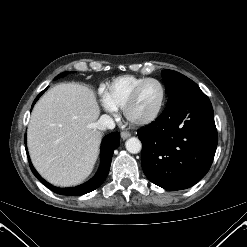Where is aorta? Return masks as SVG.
Masks as SVG:
<instances>
[{
	"label": "aorta",
	"mask_w": 247,
	"mask_h": 247,
	"mask_svg": "<svg viewBox=\"0 0 247 247\" xmlns=\"http://www.w3.org/2000/svg\"><path fill=\"white\" fill-rule=\"evenodd\" d=\"M125 147H126L128 152H130L132 154H137L141 151L142 144L138 138L131 137L126 141Z\"/></svg>",
	"instance_id": "1"
}]
</instances>
